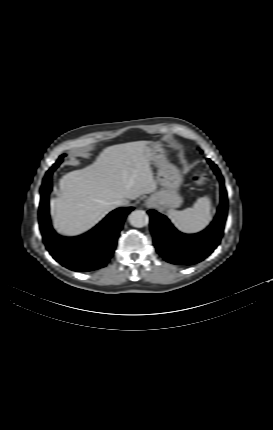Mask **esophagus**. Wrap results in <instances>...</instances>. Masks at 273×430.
Instances as JSON below:
<instances>
[{"instance_id": "34e87169", "label": "esophagus", "mask_w": 273, "mask_h": 430, "mask_svg": "<svg viewBox=\"0 0 273 430\" xmlns=\"http://www.w3.org/2000/svg\"><path fill=\"white\" fill-rule=\"evenodd\" d=\"M146 204L148 207H152L154 203L151 200H147Z\"/></svg>"}]
</instances>
